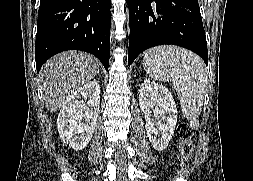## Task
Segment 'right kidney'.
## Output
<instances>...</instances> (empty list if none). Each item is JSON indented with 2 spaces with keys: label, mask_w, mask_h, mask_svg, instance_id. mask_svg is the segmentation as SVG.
I'll return each mask as SVG.
<instances>
[{
  "label": "right kidney",
  "mask_w": 253,
  "mask_h": 181,
  "mask_svg": "<svg viewBox=\"0 0 253 181\" xmlns=\"http://www.w3.org/2000/svg\"><path fill=\"white\" fill-rule=\"evenodd\" d=\"M100 85L91 81L73 91L63 102L57 125L61 140L76 151L90 142L98 118Z\"/></svg>",
  "instance_id": "1"
}]
</instances>
